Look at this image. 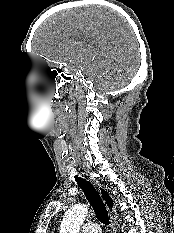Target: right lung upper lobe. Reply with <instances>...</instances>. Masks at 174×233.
I'll return each instance as SVG.
<instances>
[{
  "instance_id": "cb5924a9",
  "label": "right lung upper lobe",
  "mask_w": 174,
  "mask_h": 233,
  "mask_svg": "<svg viewBox=\"0 0 174 233\" xmlns=\"http://www.w3.org/2000/svg\"><path fill=\"white\" fill-rule=\"evenodd\" d=\"M102 197L103 199L106 201V204L109 206V207H113V201L111 199V197L109 196L108 193H106L104 190H102Z\"/></svg>"
}]
</instances>
